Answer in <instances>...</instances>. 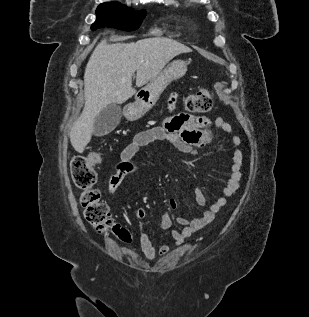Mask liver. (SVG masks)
Returning a JSON list of instances; mask_svg holds the SVG:
<instances>
[{
  "label": "liver",
  "instance_id": "1",
  "mask_svg": "<svg viewBox=\"0 0 309 317\" xmlns=\"http://www.w3.org/2000/svg\"><path fill=\"white\" fill-rule=\"evenodd\" d=\"M192 50L170 38L152 37L132 43L107 44L102 40L93 51L84 73V109L71 128L73 148L82 153L94 132L95 117L109 104H122L136 90L155 79L175 56Z\"/></svg>",
  "mask_w": 309,
  "mask_h": 317
}]
</instances>
